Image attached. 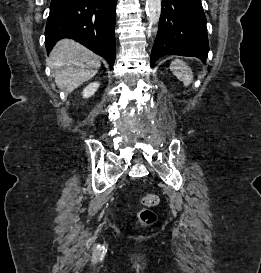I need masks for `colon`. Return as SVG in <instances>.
Here are the masks:
<instances>
[{"mask_svg": "<svg viewBox=\"0 0 261 273\" xmlns=\"http://www.w3.org/2000/svg\"><path fill=\"white\" fill-rule=\"evenodd\" d=\"M141 202L143 205L151 207L157 204L158 198L154 194H146L142 197ZM156 216L153 211L149 209L141 210L137 215V222L142 225H149L153 223Z\"/></svg>", "mask_w": 261, "mask_h": 273, "instance_id": "1", "label": "colon"}]
</instances>
